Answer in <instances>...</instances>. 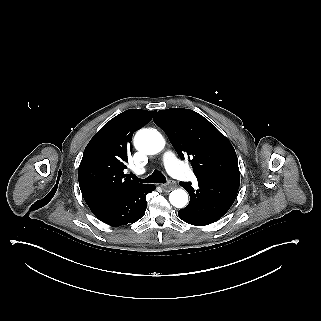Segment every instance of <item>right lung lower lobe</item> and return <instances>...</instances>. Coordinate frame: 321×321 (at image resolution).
Segmentation results:
<instances>
[{"instance_id":"obj_1","label":"right lung lower lobe","mask_w":321,"mask_h":321,"mask_svg":"<svg viewBox=\"0 0 321 321\" xmlns=\"http://www.w3.org/2000/svg\"><path fill=\"white\" fill-rule=\"evenodd\" d=\"M154 190L155 185H142L124 196L94 205L90 210L111 226L134 223L143 217L147 208L146 195Z\"/></svg>"}]
</instances>
